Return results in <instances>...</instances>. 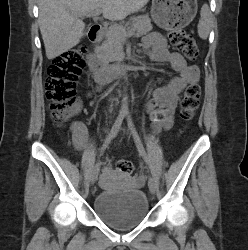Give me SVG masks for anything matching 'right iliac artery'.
<instances>
[{"instance_id": "obj_1", "label": "right iliac artery", "mask_w": 248, "mask_h": 250, "mask_svg": "<svg viewBox=\"0 0 248 250\" xmlns=\"http://www.w3.org/2000/svg\"><path fill=\"white\" fill-rule=\"evenodd\" d=\"M124 117H125L124 113H120L117 116V118H116V120H115V122H114V124H113V126H112V128H111V130H110V132L108 134V136L106 137L105 142H104L102 148H101L102 151H104L109 146V144L112 141V139L115 138V136L117 135L119 129L121 128V125H122ZM95 166H99V163H97Z\"/></svg>"}]
</instances>
